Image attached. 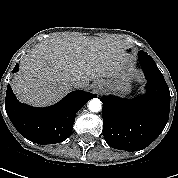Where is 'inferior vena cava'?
<instances>
[{
	"instance_id": "1",
	"label": "inferior vena cava",
	"mask_w": 178,
	"mask_h": 178,
	"mask_svg": "<svg viewBox=\"0 0 178 178\" xmlns=\"http://www.w3.org/2000/svg\"><path fill=\"white\" fill-rule=\"evenodd\" d=\"M70 83L73 87H76V88L79 87L80 85V82L76 78H71Z\"/></svg>"
}]
</instances>
